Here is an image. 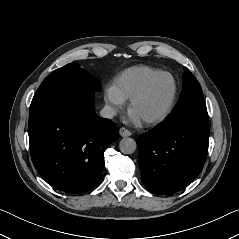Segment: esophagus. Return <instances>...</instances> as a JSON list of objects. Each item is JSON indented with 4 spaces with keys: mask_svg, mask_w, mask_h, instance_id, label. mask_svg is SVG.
<instances>
[{
    "mask_svg": "<svg viewBox=\"0 0 239 239\" xmlns=\"http://www.w3.org/2000/svg\"><path fill=\"white\" fill-rule=\"evenodd\" d=\"M119 134H120V136H122V137H128V136L131 135V132H130L129 130H127L126 128L122 127V128H120V130H119Z\"/></svg>",
    "mask_w": 239,
    "mask_h": 239,
    "instance_id": "esophagus-1",
    "label": "esophagus"
}]
</instances>
